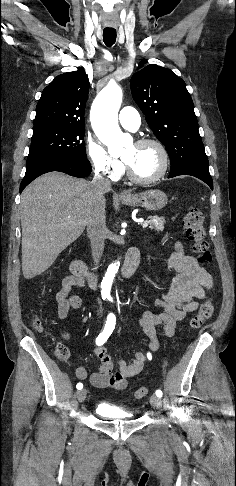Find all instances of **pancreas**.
Here are the masks:
<instances>
[{"instance_id":"1","label":"pancreas","mask_w":236,"mask_h":486,"mask_svg":"<svg viewBox=\"0 0 236 486\" xmlns=\"http://www.w3.org/2000/svg\"><path fill=\"white\" fill-rule=\"evenodd\" d=\"M149 227L154 229L155 231H162L164 229V225L166 223L163 217L158 216H149Z\"/></svg>"}]
</instances>
